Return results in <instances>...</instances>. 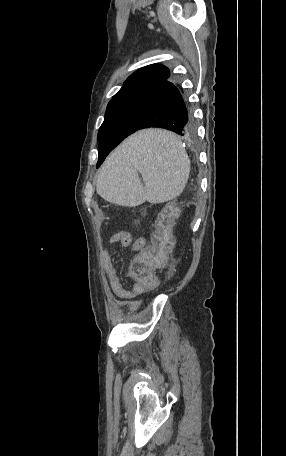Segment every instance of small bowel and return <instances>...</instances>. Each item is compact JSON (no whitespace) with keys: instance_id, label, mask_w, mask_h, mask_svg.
Returning a JSON list of instances; mask_svg holds the SVG:
<instances>
[{"instance_id":"c3829d8e","label":"small bowel","mask_w":286,"mask_h":456,"mask_svg":"<svg viewBox=\"0 0 286 456\" xmlns=\"http://www.w3.org/2000/svg\"><path fill=\"white\" fill-rule=\"evenodd\" d=\"M111 244H121L122 246L132 250H139L140 247L145 245V239L142 237L133 239L129 233L119 232L112 236ZM101 259L104 270L109 279L111 290L118 299L123 301H132L138 294L143 293V291L137 290L134 285L131 289H126L123 286L118 272L113 264L111 252L108 249H105L102 252Z\"/></svg>"}]
</instances>
